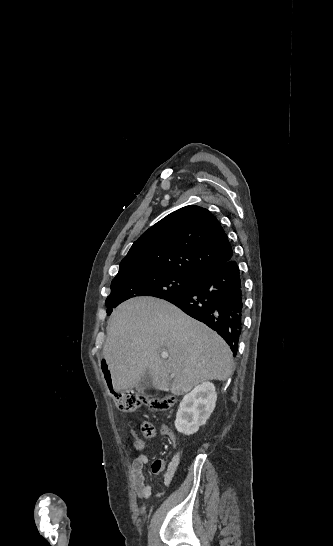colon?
<instances>
[{
  "label": "colon",
  "mask_w": 333,
  "mask_h": 546,
  "mask_svg": "<svg viewBox=\"0 0 333 546\" xmlns=\"http://www.w3.org/2000/svg\"><path fill=\"white\" fill-rule=\"evenodd\" d=\"M101 368L104 372L102 377L107 379L104 383L107 385V389L111 391V394L114 396V401L117 407L122 411H134L141 405H146L153 410L165 411L170 409L175 403V398L171 395L161 398H152L134 392L118 393V391L114 389V385H112V380L109 379L111 375L108 372V365L103 363ZM141 431L143 436L146 438H152L156 434L154 425L149 421L142 422Z\"/></svg>",
  "instance_id": "colon-1"
}]
</instances>
